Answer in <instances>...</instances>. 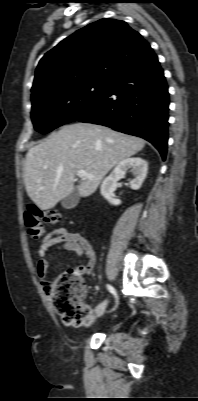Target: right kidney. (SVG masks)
I'll return each instance as SVG.
<instances>
[{"instance_id": "1", "label": "right kidney", "mask_w": 198, "mask_h": 401, "mask_svg": "<svg viewBox=\"0 0 198 401\" xmlns=\"http://www.w3.org/2000/svg\"><path fill=\"white\" fill-rule=\"evenodd\" d=\"M128 169H132L134 175V178L130 181V187L133 190H138L147 175L148 164L140 157L125 159L104 179L100 191L102 196L112 205L121 204V201L115 198L114 191L117 187V181L125 176Z\"/></svg>"}]
</instances>
